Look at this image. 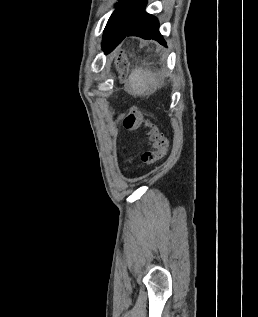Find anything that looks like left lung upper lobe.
<instances>
[{
	"label": "left lung upper lobe",
	"mask_w": 258,
	"mask_h": 317,
	"mask_svg": "<svg viewBox=\"0 0 258 317\" xmlns=\"http://www.w3.org/2000/svg\"><path fill=\"white\" fill-rule=\"evenodd\" d=\"M120 1L121 3L117 4V8L109 18L105 29H122L125 26L129 14V6L132 0Z\"/></svg>",
	"instance_id": "left-lung-upper-lobe-1"
}]
</instances>
